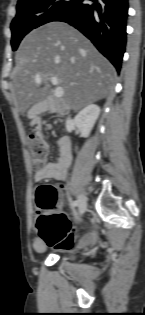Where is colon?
<instances>
[{"label":"colon","mask_w":145,"mask_h":315,"mask_svg":"<svg viewBox=\"0 0 145 315\" xmlns=\"http://www.w3.org/2000/svg\"><path fill=\"white\" fill-rule=\"evenodd\" d=\"M32 164L39 169L46 164L47 146L37 134L27 137ZM61 190L53 184L39 186L35 201L37 211L36 229L39 237L50 247L69 249L74 242V233L68 217L59 210Z\"/></svg>","instance_id":"colon-1"}]
</instances>
